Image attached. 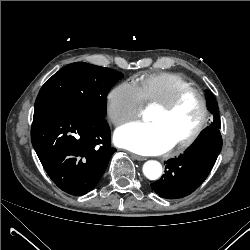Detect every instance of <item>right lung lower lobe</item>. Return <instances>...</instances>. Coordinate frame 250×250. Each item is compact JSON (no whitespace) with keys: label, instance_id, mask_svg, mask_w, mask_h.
I'll use <instances>...</instances> for the list:
<instances>
[{"label":"right lung lower lobe","instance_id":"right-lung-lower-lobe-1","mask_svg":"<svg viewBox=\"0 0 250 250\" xmlns=\"http://www.w3.org/2000/svg\"><path fill=\"white\" fill-rule=\"evenodd\" d=\"M31 141L49 177L74 196L96 186L116 151L104 117L61 105L34 109Z\"/></svg>","mask_w":250,"mask_h":250}]
</instances>
